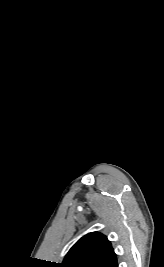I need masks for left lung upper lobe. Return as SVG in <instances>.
Here are the masks:
<instances>
[{"instance_id":"5c2ea615","label":"left lung upper lobe","mask_w":164,"mask_h":267,"mask_svg":"<svg viewBox=\"0 0 164 267\" xmlns=\"http://www.w3.org/2000/svg\"><path fill=\"white\" fill-rule=\"evenodd\" d=\"M115 257L116 254L107 237L92 232L72 246L60 267H107Z\"/></svg>"}]
</instances>
